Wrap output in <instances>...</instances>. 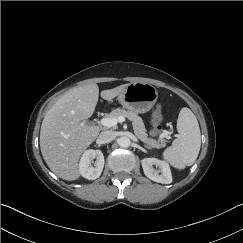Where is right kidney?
<instances>
[{
    "instance_id": "ca27d5eb",
    "label": "right kidney",
    "mask_w": 243,
    "mask_h": 243,
    "mask_svg": "<svg viewBox=\"0 0 243 243\" xmlns=\"http://www.w3.org/2000/svg\"><path fill=\"white\" fill-rule=\"evenodd\" d=\"M92 163H94V166ZM103 167L104 156L100 150H86L79 163L80 174L88 180L98 178L102 173Z\"/></svg>"
}]
</instances>
